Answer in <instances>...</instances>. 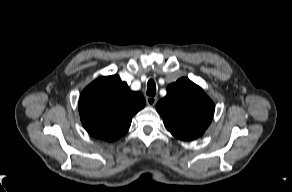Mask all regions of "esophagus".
Segmentation results:
<instances>
[{"instance_id": "1", "label": "esophagus", "mask_w": 292, "mask_h": 192, "mask_svg": "<svg viewBox=\"0 0 292 192\" xmlns=\"http://www.w3.org/2000/svg\"><path fill=\"white\" fill-rule=\"evenodd\" d=\"M146 103L149 106H154L157 103V98L156 97H152V96H148V97H146Z\"/></svg>"}]
</instances>
